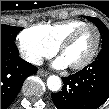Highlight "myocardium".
<instances>
[{
  "label": "myocardium",
  "instance_id": "f54148a6",
  "mask_svg": "<svg viewBox=\"0 0 109 109\" xmlns=\"http://www.w3.org/2000/svg\"><path fill=\"white\" fill-rule=\"evenodd\" d=\"M88 27H92L94 28V30L96 31V35H97V38H96V42H95V45H94V48L92 50V52L90 53V55L82 62L78 63V64H74V65H69V67L72 69V70H81L85 67H87L88 65H90L93 60L95 59L98 51H99V48H100V43H101V32H100V29L95 25V24H92V23H85L79 27H77L76 29H74L62 42L61 44L59 45L58 47V50H59V53L61 55H63V53L65 52V50L67 48H69L77 39V37L80 35V33L88 28Z\"/></svg>",
  "mask_w": 109,
  "mask_h": 109
}]
</instances>
